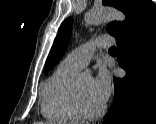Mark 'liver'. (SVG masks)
<instances>
[{"mask_svg": "<svg viewBox=\"0 0 156 124\" xmlns=\"http://www.w3.org/2000/svg\"><path fill=\"white\" fill-rule=\"evenodd\" d=\"M33 124H45V123H43V122H35Z\"/></svg>", "mask_w": 156, "mask_h": 124, "instance_id": "1", "label": "liver"}]
</instances>
